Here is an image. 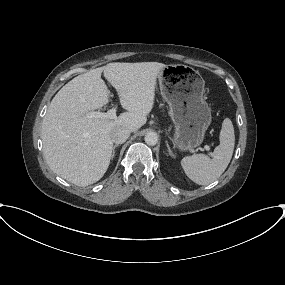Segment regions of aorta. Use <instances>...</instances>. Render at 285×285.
I'll use <instances>...</instances> for the list:
<instances>
[{"label": "aorta", "mask_w": 285, "mask_h": 285, "mask_svg": "<svg viewBox=\"0 0 285 285\" xmlns=\"http://www.w3.org/2000/svg\"><path fill=\"white\" fill-rule=\"evenodd\" d=\"M145 142L147 145H150V146H154L157 144L158 142V136L156 133L154 132H148L146 135H145Z\"/></svg>", "instance_id": "1"}]
</instances>
